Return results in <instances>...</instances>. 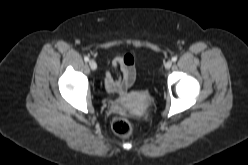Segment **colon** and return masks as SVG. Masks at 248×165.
Returning <instances> with one entry per match:
<instances>
[{"label": "colon", "instance_id": "obj_1", "mask_svg": "<svg viewBox=\"0 0 248 165\" xmlns=\"http://www.w3.org/2000/svg\"><path fill=\"white\" fill-rule=\"evenodd\" d=\"M112 130L121 137H129L132 134V124L125 117H117L112 122Z\"/></svg>", "mask_w": 248, "mask_h": 165}]
</instances>
